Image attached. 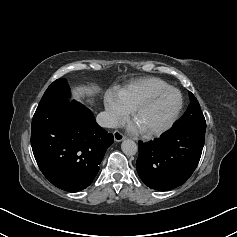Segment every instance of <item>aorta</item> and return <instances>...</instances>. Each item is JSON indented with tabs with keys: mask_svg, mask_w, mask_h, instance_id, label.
Instances as JSON below:
<instances>
[{
	"mask_svg": "<svg viewBox=\"0 0 237 237\" xmlns=\"http://www.w3.org/2000/svg\"><path fill=\"white\" fill-rule=\"evenodd\" d=\"M121 149L125 155L133 156L137 153L138 146L133 140L127 139L122 142Z\"/></svg>",
	"mask_w": 237,
	"mask_h": 237,
	"instance_id": "762f6f07",
	"label": "aorta"
}]
</instances>
